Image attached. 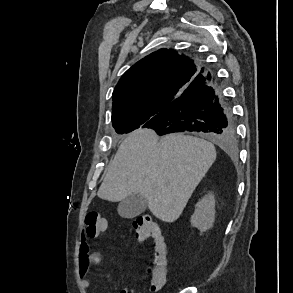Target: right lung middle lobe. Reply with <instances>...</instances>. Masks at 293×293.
Masks as SVG:
<instances>
[{"instance_id":"right-lung-middle-lobe-1","label":"right lung middle lobe","mask_w":293,"mask_h":293,"mask_svg":"<svg viewBox=\"0 0 293 293\" xmlns=\"http://www.w3.org/2000/svg\"><path fill=\"white\" fill-rule=\"evenodd\" d=\"M154 111L149 109H138L130 113L112 117L113 127L119 134L129 133L153 117Z\"/></svg>"}]
</instances>
